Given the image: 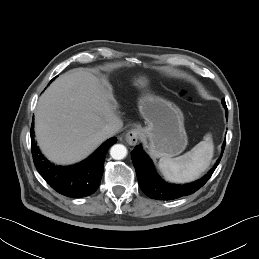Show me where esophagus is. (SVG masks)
I'll return each mask as SVG.
<instances>
[{
    "mask_svg": "<svg viewBox=\"0 0 259 259\" xmlns=\"http://www.w3.org/2000/svg\"><path fill=\"white\" fill-rule=\"evenodd\" d=\"M140 136H141V131L138 128H133L127 131L124 139L129 145L134 146L138 142Z\"/></svg>",
    "mask_w": 259,
    "mask_h": 259,
    "instance_id": "34e87169",
    "label": "esophagus"
}]
</instances>
